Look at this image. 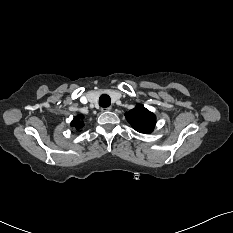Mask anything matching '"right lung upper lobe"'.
<instances>
[{
	"label": "right lung upper lobe",
	"instance_id": "cb5924a9",
	"mask_svg": "<svg viewBox=\"0 0 233 233\" xmlns=\"http://www.w3.org/2000/svg\"><path fill=\"white\" fill-rule=\"evenodd\" d=\"M82 119H83L82 115L75 117L71 122V126L75 127L77 130L82 128L84 126Z\"/></svg>",
	"mask_w": 233,
	"mask_h": 233
}]
</instances>
